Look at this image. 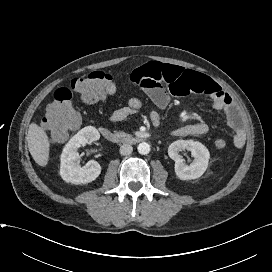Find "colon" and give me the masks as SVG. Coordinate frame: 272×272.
I'll return each mask as SVG.
<instances>
[{
	"mask_svg": "<svg viewBox=\"0 0 272 272\" xmlns=\"http://www.w3.org/2000/svg\"><path fill=\"white\" fill-rule=\"evenodd\" d=\"M116 92L112 77L102 71H93L87 75L76 77L69 87L59 88L54 92L53 100L46 109L44 125L53 142H61L69 130L78 126L80 117L73 106V93H77L85 102H97ZM127 107L138 111L142 107L141 99L129 98ZM217 149L227 146L226 140L218 138L214 141Z\"/></svg>",
	"mask_w": 272,
	"mask_h": 272,
	"instance_id": "1",
	"label": "colon"
}]
</instances>
